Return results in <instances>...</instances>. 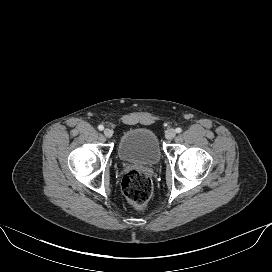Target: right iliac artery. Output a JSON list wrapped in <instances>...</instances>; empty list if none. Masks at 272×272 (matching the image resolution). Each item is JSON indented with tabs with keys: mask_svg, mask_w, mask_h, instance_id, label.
I'll return each mask as SVG.
<instances>
[{
	"mask_svg": "<svg viewBox=\"0 0 272 272\" xmlns=\"http://www.w3.org/2000/svg\"><path fill=\"white\" fill-rule=\"evenodd\" d=\"M98 129H99L100 131H102V130L104 129V126H103V125H99V126H98Z\"/></svg>",
	"mask_w": 272,
	"mask_h": 272,
	"instance_id": "right-iliac-artery-1",
	"label": "right iliac artery"
}]
</instances>
